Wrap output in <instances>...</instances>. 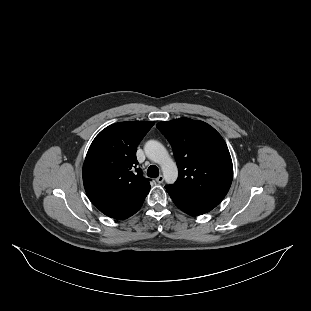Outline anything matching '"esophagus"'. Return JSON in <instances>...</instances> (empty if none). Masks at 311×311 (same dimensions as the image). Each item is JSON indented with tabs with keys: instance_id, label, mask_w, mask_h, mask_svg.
Listing matches in <instances>:
<instances>
[{
	"instance_id": "1",
	"label": "esophagus",
	"mask_w": 311,
	"mask_h": 311,
	"mask_svg": "<svg viewBox=\"0 0 311 311\" xmlns=\"http://www.w3.org/2000/svg\"><path fill=\"white\" fill-rule=\"evenodd\" d=\"M163 180H164L163 175H160L159 177L156 178V181H157L158 183H162Z\"/></svg>"
}]
</instances>
